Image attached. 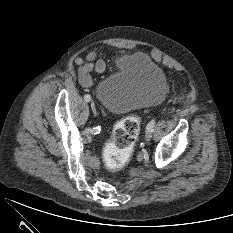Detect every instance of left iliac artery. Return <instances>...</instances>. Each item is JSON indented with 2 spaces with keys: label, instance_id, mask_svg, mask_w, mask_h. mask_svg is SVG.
<instances>
[{
  "label": "left iliac artery",
  "instance_id": "1",
  "mask_svg": "<svg viewBox=\"0 0 233 233\" xmlns=\"http://www.w3.org/2000/svg\"><path fill=\"white\" fill-rule=\"evenodd\" d=\"M155 123H156V121L154 119L151 120L147 125V130L153 131L154 127H155Z\"/></svg>",
  "mask_w": 233,
  "mask_h": 233
}]
</instances>
